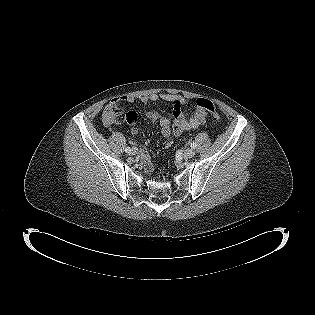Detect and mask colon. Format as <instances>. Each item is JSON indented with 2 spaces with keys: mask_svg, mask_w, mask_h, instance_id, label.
<instances>
[{
  "mask_svg": "<svg viewBox=\"0 0 315 315\" xmlns=\"http://www.w3.org/2000/svg\"><path fill=\"white\" fill-rule=\"evenodd\" d=\"M196 105L203 108L210 113L211 117L219 121L220 114L218 113L214 103L208 99L199 98L196 101ZM107 119L109 124H121L122 122H127L129 124H134L137 121V114L134 112L125 113L119 103V101L114 102L107 112Z\"/></svg>",
  "mask_w": 315,
  "mask_h": 315,
  "instance_id": "5ec220e1",
  "label": "colon"
}]
</instances>
